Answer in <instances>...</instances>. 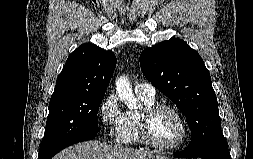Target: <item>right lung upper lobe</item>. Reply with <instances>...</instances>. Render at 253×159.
<instances>
[{"instance_id": "1", "label": "right lung upper lobe", "mask_w": 253, "mask_h": 159, "mask_svg": "<svg viewBox=\"0 0 253 159\" xmlns=\"http://www.w3.org/2000/svg\"><path fill=\"white\" fill-rule=\"evenodd\" d=\"M116 66L115 54L96 45L82 44L72 52L51 98L79 93H104Z\"/></svg>"}]
</instances>
